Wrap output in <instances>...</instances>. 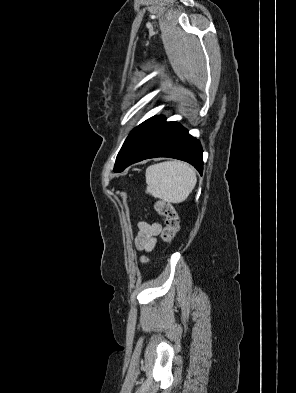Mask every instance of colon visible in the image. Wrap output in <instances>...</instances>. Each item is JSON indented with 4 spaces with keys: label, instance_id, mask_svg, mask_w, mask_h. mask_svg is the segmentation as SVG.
Here are the masks:
<instances>
[{
    "label": "colon",
    "instance_id": "obj_1",
    "mask_svg": "<svg viewBox=\"0 0 296 393\" xmlns=\"http://www.w3.org/2000/svg\"><path fill=\"white\" fill-rule=\"evenodd\" d=\"M156 213L165 218V227L162 239L166 243H172L179 227V218L174 206L164 200H157L154 204Z\"/></svg>",
    "mask_w": 296,
    "mask_h": 393
}]
</instances>
